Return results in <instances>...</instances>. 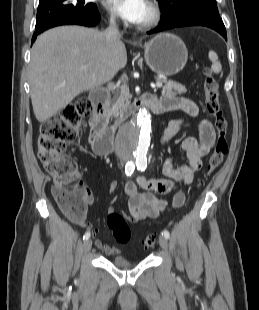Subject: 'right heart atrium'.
Instances as JSON below:
<instances>
[{
	"mask_svg": "<svg viewBox=\"0 0 259 310\" xmlns=\"http://www.w3.org/2000/svg\"><path fill=\"white\" fill-rule=\"evenodd\" d=\"M109 21H110L111 23H113V22H114L113 17H109Z\"/></svg>",
	"mask_w": 259,
	"mask_h": 310,
	"instance_id": "1",
	"label": "right heart atrium"
}]
</instances>
